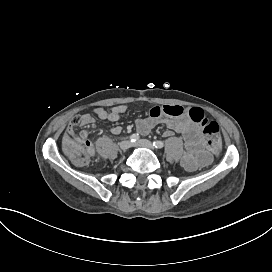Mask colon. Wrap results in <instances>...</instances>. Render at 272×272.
Returning a JSON list of instances; mask_svg holds the SVG:
<instances>
[{
    "instance_id": "obj_1",
    "label": "colon",
    "mask_w": 272,
    "mask_h": 272,
    "mask_svg": "<svg viewBox=\"0 0 272 272\" xmlns=\"http://www.w3.org/2000/svg\"><path fill=\"white\" fill-rule=\"evenodd\" d=\"M189 116L202 130L206 147L210 152L217 153L222 147L220 126L214 120L207 119L201 112H190ZM66 153L73 158L78 170H87L91 166V143L78 135H69L65 139Z\"/></svg>"
}]
</instances>
